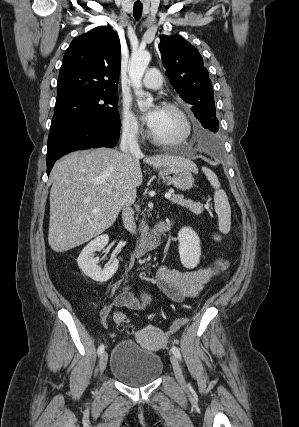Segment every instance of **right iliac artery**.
<instances>
[{"instance_id":"right-iliac-artery-1","label":"right iliac artery","mask_w":299,"mask_h":427,"mask_svg":"<svg viewBox=\"0 0 299 427\" xmlns=\"http://www.w3.org/2000/svg\"><path fill=\"white\" fill-rule=\"evenodd\" d=\"M103 352H104V345H100L98 347L97 353H98V355H101Z\"/></svg>"}]
</instances>
